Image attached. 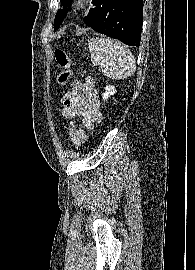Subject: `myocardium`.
I'll use <instances>...</instances> for the list:
<instances>
[{
  "label": "myocardium",
  "instance_id": "myocardium-1",
  "mask_svg": "<svg viewBox=\"0 0 195 270\" xmlns=\"http://www.w3.org/2000/svg\"><path fill=\"white\" fill-rule=\"evenodd\" d=\"M72 4L75 10L82 11L89 6L90 0H73Z\"/></svg>",
  "mask_w": 195,
  "mask_h": 270
}]
</instances>
